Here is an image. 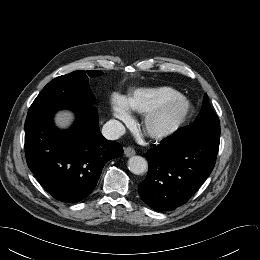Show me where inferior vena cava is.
Wrapping results in <instances>:
<instances>
[{
    "instance_id": "1",
    "label": "inferior vena cava",
    "mask_w": 260,
    "mask_h": 260,
    "mask_svg": "<svg viewBox=\"0 0 260 260\" xmlns=\"http://www.w3.org/2000/svg\"><path fill=\"white\" fill-rule=\"evenodd\" d=\"M125 133V127L118 120L112 119L106 122L102 128L103 136L108 140H116Z\"/></svg>"
}]
</instances>
